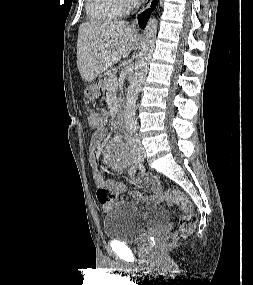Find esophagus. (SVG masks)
<instances>
[{
  "mask_svg": "<svg viewBox=\"0 0 253 285\" xmlns=\"http://www.w3.org/2000/svg\"><path fill=\"white\" fill-rule=\"evenodd\" d=\"M151 3H152V0H146L145 3H144V5L142 6L141 12L144 11V10H146L147 8H149L150 5H151ZM133 25H134V26L137 25V19H135V20L133 21Z\"/></svg>",
  "mask_w": 253,
  "mask_h": 285,
  "instance_id": "esophagus-1",
  "label": "esophagus"
}]
</instances>
